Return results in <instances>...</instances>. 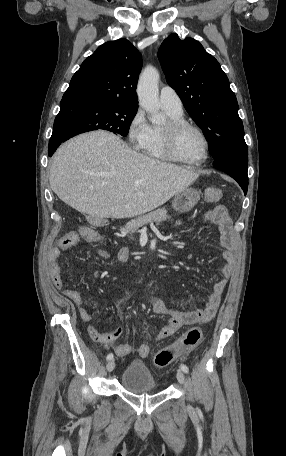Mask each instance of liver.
Returning a JSON list of instances; mask_svg holds the SVG:
<instances>
[{
	"label": "liver",
	"instance_id": "obj_1",
	"mask_svg": "<svg viewBox=\"0 0 286 456\" xmlns=\"http://www.w3.org/2000/svg\"><path fill=\"white\" fill-rule=\"evenodd\" d=\"M198 174L131 150L118 136L95 131L65 142L50 169L51 189L95 219L147 213L188 188Z\"/></svg>",
	"mask_w": 286,
	"mask_h": 456
}]
</instances>
